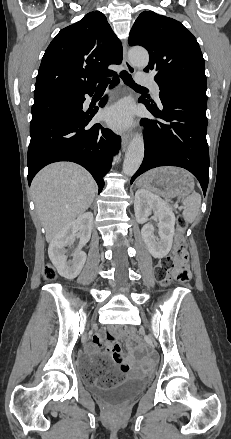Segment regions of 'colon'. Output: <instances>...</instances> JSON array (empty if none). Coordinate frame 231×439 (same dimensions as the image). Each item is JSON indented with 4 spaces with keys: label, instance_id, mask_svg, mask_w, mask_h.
Masks as SVG:
<instances>
[{
    "label": "colon",
    "instance_id": "1",
    "mask_svg": "<svg viewBox=\"0 0 231 439\" xmlns=\"http://www.w3.org/2000/svg\"><path fill=\"white\" fill-rule=\"evenodd\" d=\"M187 228V221L183 217L177 220V231L175 236V248L172 255H168L160 261L156 268V277L165 285H169L173 279L178 282H188L190 279V272L187 268V251L184 241V232ZM44 276L48 280L55 277L54 271L50 266L45 267ZM122 331L132 334L133 330L128 327L121 329ZM128 367L120 365L119 367H111L107 373L99 379V383L104 386H109L117 383L126 373Z\"/></svg>",
    "mask_w": 231,
    "mask_h": 439
}]
</instances>
